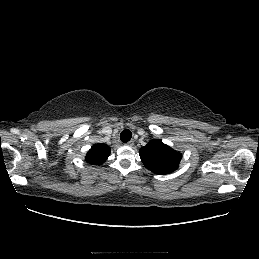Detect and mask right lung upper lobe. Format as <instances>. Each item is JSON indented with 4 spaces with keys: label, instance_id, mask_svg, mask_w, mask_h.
Returning <instances> with one entry per match:
<instances>
[{
    "label": "right lung upper lobe",
    "instance_id": "1",
    "mask_svg": "<svg viewBox=\"0 0 259 259\" xmlns=\"http://www.w3.org/2000/svg\"><path fill=\"white\" fill-rule=\"evenodd\" d=\"M110 155V147L106 144H95L88 151L85 160L93 165L104 163Z\"/></svg>",
    "mask_w": 259,
    "mask_h": 259
}]
</instances>
